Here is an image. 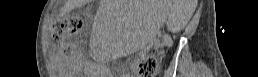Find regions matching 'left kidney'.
Listing matches in <instances>:
<instances>
[{"instance_id":"obj_1","label":"left kidney","mask_w":258,"mask_h":77,"mask_svg":"<svg viewBox=\"0 0 258 77\" xmlns=\"http://www.w3.org/2000/svg\"><path fill=\"white\" fill-rule=\"evenodd\" d=\"M196 2V0H195ZM196 4V3H195ZM195 10V7L189 12V14H183L182 11H177V16H173V23L182 22L183 24L187 23L191 17L192 12Z\"/></svg>"}]
</instances>
